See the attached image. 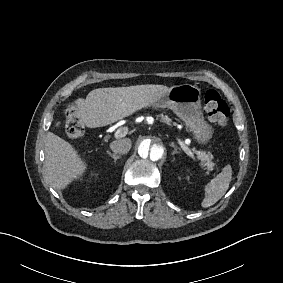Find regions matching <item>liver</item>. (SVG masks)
<instances>
[{
    "instance_id": "liver-1",
    "label": "liver",
    "mask_w": 283,
    "mask_h": 283,
    "mask_svg": "<svg viewBox=\"0 0 283 283\" xmlns=\"http://www.w3.org/2000/svg\"><path fill=\"white\" fill-rule=\"evenodd\" d=\"M168 89L167 86L153 84L94 89L86 99L79 98L74 102V115L81 126H106L152 105ZM44 165L46 178L56 189H64L86 169V164L72 145L52 132L47 133L45 140Z\"/></svg>"
}]
</instances>
